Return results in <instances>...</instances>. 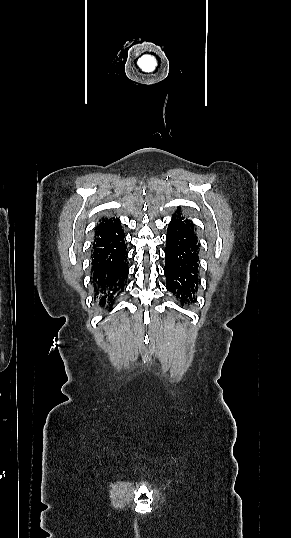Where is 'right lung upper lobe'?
Segmentation results:
<instances>
[{"mask_svg":"<svg viewBox=\"0 0 291 538\" xmlns=\"http://www.w3.org/2000/svg\"><path fill=\"white\" fill-rule=\"evenodd\" d=\"M115 222H118V219L115 218V217H113V218H105L103 220H100V224H99V226H97L96 230L104 228V227H106L108 225H111V224H113Z\"/></svg>","mask_w":291,"mask_h":538,"instance_id":"cb5924a9","label":"right lung upper lobe"}]
</instances>
